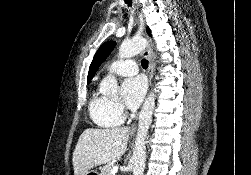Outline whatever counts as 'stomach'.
<instances>
[{
    "instance_id": "1",
    "label": "stomach",
    "mask_w": 251,
    "mask_h": 175,
    "mask_svg": "<svg viewBox=\"0 0 251 175\" xmlns=\"http://www.w3.org/2000/svg\"><path fill=\"white\" fill-rule=\"evenodd\" d=\"M85 175H99V173H97L96 169H90Z\"/></svg>"
}]
</instances>
